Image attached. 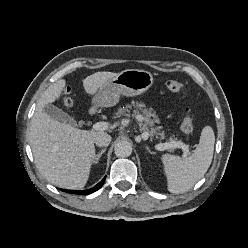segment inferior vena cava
<instances>
[{"label":"inferior vena cava","mask_w":248,"mask_h":248,"mask_svg":"<svg viewBox=\"0 0 248 248\" xmlns=\"http://www.w3.org/2000/svg\"><path fill=\"white\" fill-rule=\"evenodd\" d=\"M111 142V136L107 133H100L95 137L94 143L99 147H106Z\"/></svg>","instance_id":"602c4592"}]
</instances>
